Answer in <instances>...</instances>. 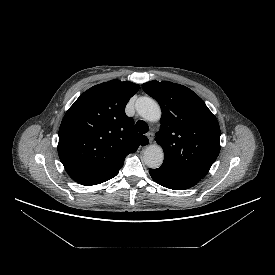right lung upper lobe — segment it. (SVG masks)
Wrapping results in <instances>:
<instances>
[{
    "instance_id": "obj_1",
    "label": "right lung upper lobe",
    "mask_w": 275,
    "mask_h": 275,
    "mask_svg": "<svg viewBox=\"0 0 275 275\" xmlns=\"http://www.w3.org/2000/svg\"><path fill=\"white\" fill-rule=\"evenodd\" d=\"M139 88L128 81L104 82L85 91L66 112L58 154L74 181L87 186L105 182L118 174L129 153L148 144L125 115L127 102Z\"/></svg>"
}]
</instances>
